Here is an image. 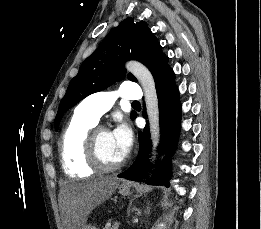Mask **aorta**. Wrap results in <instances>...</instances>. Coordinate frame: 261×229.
I'll return each mask as SVG.
<instances>
[{
    "instance_id": "1",
    "label": "aorta",
    "mask_w": 261,
    "mask_h": 229,
    "mask_svg": "<svg viewBox=\"0 0 261 229\" xmlns=\"http://www.w3.org/2000/svg\"><path fill=\"white\" fill-rule=\"evenodd\" d=\"M125 66L129 72H132V74L138 78L144 90L146 110L150 125V135L153 145L152 155H155L156 147H158L160 141V117L154 78L149 68H146L144 64L137 62V60H128Z\"/></svg>"
}]
</instances>
